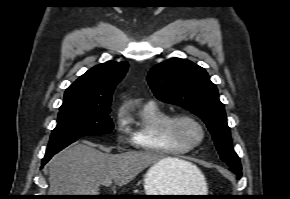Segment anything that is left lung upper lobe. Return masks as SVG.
Returning a JSON list of instances; mask_svg holds the SVG:
<instances>
[{
    "instance_id": "obj_1",
    "label": "left lung upper lobe",
    "mask_w": 290,
    "mask_h": 199,
    "mask_svg": "<svg viewBox=\"0 0 290 199\" xmlns=\"http://www.w3.org/2000/svg\"><path fill=\"white\" fill-rule=\"evenodd\" d=\"M147 80L159 100L200 117L212 134L221 159L229 167H241L232 146L224 106L204 68L186 59L171 58L154 66Z\"/></svg>"
}]
</instances>
